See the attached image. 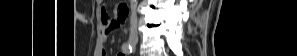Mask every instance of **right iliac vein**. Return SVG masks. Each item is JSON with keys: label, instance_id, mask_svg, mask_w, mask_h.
<instances>
[{"label": "right iliac vein", "instance_id": "63e3f726", "mask_svg": "<svg viewBox=\"0 0 297 56\" xmlns=\"http://www.w3.org/2000/svg\"><path fill=\"white\" fill-rule=\"evenodd\" d=\"M129 42L131 45H136L138 42V39H137V37L132 36V37H130Z\"/></svg>", "mask_w": 297, "mask_h": 56}]
</instances>
